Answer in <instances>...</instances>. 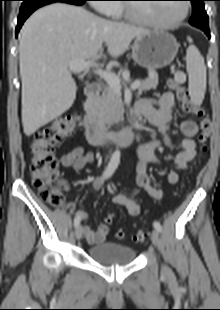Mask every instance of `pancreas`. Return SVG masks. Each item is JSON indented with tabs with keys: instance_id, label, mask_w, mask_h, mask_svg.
<instances>
[{
	"instance_id": "cf45deb5",
	"label": "pancreas",
	"mask_w": 220,
	"mask_h": 310,
	"mask_svg": "<svg viewBox=\"0 0 220 310\" xmlns=\"http://www.w3.org/2000/svg\"><path fill=\"white\" fill-rule=\"evenodd\" d=\"M158 85V74L154 70L149 71V77L144 80L139 91L155 89ZM123 113L121 93L113 91L109 86L105 87L101 96L97 97L92 105L91 114L101 124H112L119 120Z\"/></svg>"
}]
</instances>
